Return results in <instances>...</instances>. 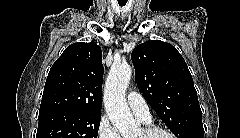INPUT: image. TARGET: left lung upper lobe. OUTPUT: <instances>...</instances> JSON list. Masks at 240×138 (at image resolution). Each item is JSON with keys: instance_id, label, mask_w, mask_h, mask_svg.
Instances as JSON below:
<instances>
[{"instance_id": "5c2ea615", "label": "left lung upper lobe", "mask_w": 240, "mask_h": 138, "mask_svg": "<svg viewBox=\"0 0 240 138\" xmlns=\"http://www.w3.org/2000/svg\"><path fill=\"white\" fill-rule=\"evenodd\" d=\"M140 93L177 138L204 133L187 64L171 44L149 40L131 53Z\"/></svg>"}]
</instances>
